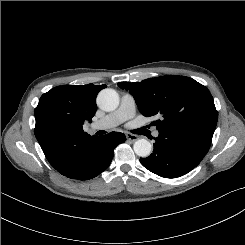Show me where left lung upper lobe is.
I'll return each instance as SVG.
<instances>
[{
	"instance_id": "1",
	"label": "left lung upper lobe",
	"mask_w": 245,
	"mask_h": 245,
	"mask_svg": "<svg viewBox=\"0 0 245 245\" xmlns=\"http://www.w3.org/2000/svg\"><path fill=\"white\" fill-rule=\"evenodd\" d=\"M146 117L158 115V130L194 129L213 136L218 113L209 90L192 78L165 75L141 82H120Z\"/></svg>"
}]
</instances>
